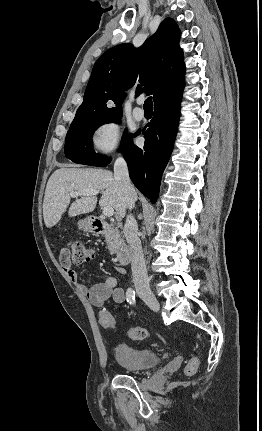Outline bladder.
Here are the masks:
<instances>
[{"label": "bladder", "mask_w": 262, "mask_h": 431, "mask_svg": "<svg viewBox=\"0 0 262 431\" xmlns=\"http://www.w3.org/2000/svg\"><path fill=\"white\" fill-rule=\"evenodd\" d=\"M116 359L123 368L137 371L157 365L161 357L160 353L153 349L118 344L116 346Z\"/></svg>", "instance_id": "31cf9c89"}]
</instances>
